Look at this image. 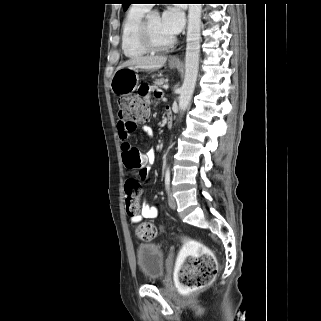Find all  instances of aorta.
<instances>
[{
    "label": "aorta",
    "mask_w": 321,
    "mask_h": 321,
    "mask_svg": "<svg viewBox=\"0 0 321 321\" xmlns=\"http://www.w3.org/2000/svg\"><path fill=\"white\" fill-rule=\"evenodd\" d=\"M201 11V4H189L185 77L179 96V110L181 114H183L190 103L198 76L201 39Z\"/></svg>",
    "instance_id": "762f6f07"
}]
</instances>
